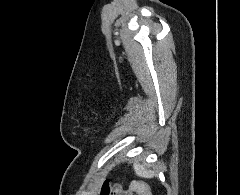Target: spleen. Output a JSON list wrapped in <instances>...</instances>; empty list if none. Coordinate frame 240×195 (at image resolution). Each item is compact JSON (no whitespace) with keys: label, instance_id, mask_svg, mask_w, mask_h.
Returning a JSON list of instances; mask_svg holds the SVG:
<instances>
[{"label":"spleen","instance_id":"spleen-1","mask_svg":"<svg viewBox=\"0 0 240 195\" xmlns=\"http://www.w3.org/2000/svg\"><path fill=\"white\" fill-rule=\"evenodd\" d=\"M135 173L140 175V177H154L155 171L152 169H146V165H141V163H134Z\"/></svg>","mask_w":240,"mask_h":195}]
</instances>
